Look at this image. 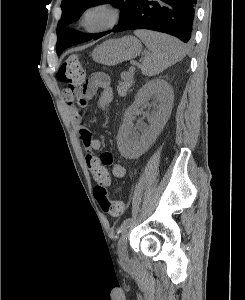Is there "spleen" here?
Instances as JSON below:
<instances>
[{
	"label": "spleen",
	"mask_w": 245,
	"mask_h": 300,
	"mask_svg": "<svg viewBox=\"0 0 245 300\" xmlns=\"http://www.w3.org/2000/svg\"><path fill=\"white\" fill-rule=\"evenodd\" d=\"M151 54L142 62L141 71L146 76H154L180 61L186 55L184 45L176 38L147 30L135 31Z\"/></svg>",
	"instance_id": "spleen-1"
}]
</instances>
